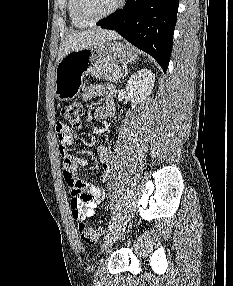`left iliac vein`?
I'll return each mask as SVG.
<instances>
[{
	"label": "left iliac vein",
	"instance_id": "obj_1",
	"mask_svg": "<svg viewBox=\"0 0 233 286\" xmlns=\"http://www.w3.org/2000/svg\"><path fill=\"white\" fill-rule=\"evenodd\" d=\"M125 222L117 223L114 227L109 231V233L105 237V241L103 243V248L107 249L113 245L114 242L123 234L125 230Z\"/></svg>",
	"mask_w": 233,
	"mask_h": 286
}]
</instances>
